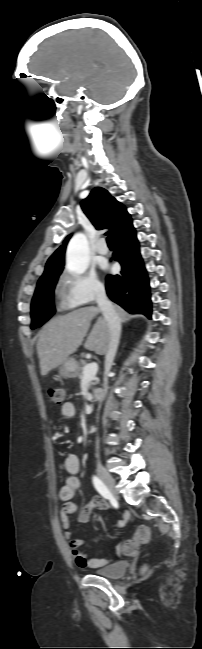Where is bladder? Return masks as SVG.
<instances>
[{"mask_svg":"<svg viewBox=\"0 0 202 649\" xmlns=\"http://www.w3.org/2000/svg\"><path fill=\"white\" fill-rule=\"evenodd\" d=\"M128 568V562L125 560L117 561L95 570V574L105 578H118L122 576Z\"/></svg>","mask_w":202,"mask_h":649,"instance_id":"31cf9c89","label":"bladder"}]
</instances>
